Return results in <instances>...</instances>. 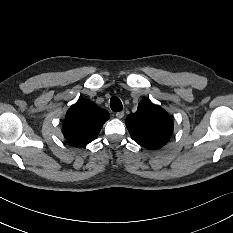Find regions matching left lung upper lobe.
I'll return each instance as SVG.
<instances>
[{"mask_svg": "<svg viewBox=\"0 0 233 233\" xmlns=\"http://www.w3.org/2000/svg\"><path fill=\"white\" fill-rule=\"evenodd\" d=\"M132 139L147 149H159L170 139L173 122L168 113L148 100H142L135 113L126 118Z\"/></svg>", "mask_w": 233, "mask_h": 233, "instance_id": "1", "label": "left lung upper lobe"}]
</instances>
